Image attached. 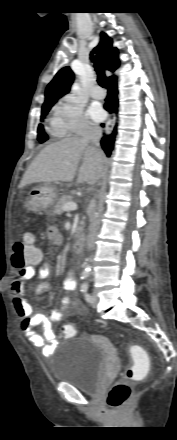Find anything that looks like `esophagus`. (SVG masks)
<instances>
[{"mask_svg": "<svg viewBox=\"0 0 177 440\" xmlns=\"http://www.w3.org/2000/svg\"><path fill=\"white\" fill-rule=\"evenodd\" d=\"M115 122H116V115H115V113L112 112L109 116L107 123H106V127H105L106 133H111V131L113 130V127L115 125Z\"/></svg>", "mask_w": 177, "mask_h": 440, "instance_id": "obj_1", "label": "esophagus"}]
</instances>
